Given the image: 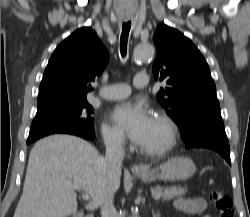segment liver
<instances>
[{"label": "liver", "mask_w": 250, "mask_h": 217, "mask_svg": "<svg viewBox=\"0 0 250 217\" xmlns=\"http://www.w3.org/2000/svg\"><path fill=\"white\" fill-rule=\"evenodd\" d=\"M119 186L120 176L109 178L104 158L89 142L70 135L49 136L30 152L14 217H67L77 211L76 187L90 196L85 209L93 210Z\"/></svg>", "instance_id": "obj_1"}]
</instances>
